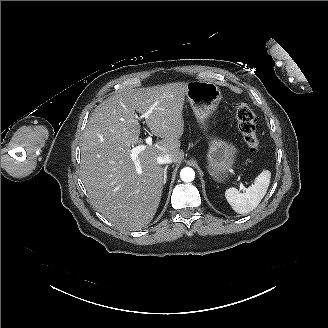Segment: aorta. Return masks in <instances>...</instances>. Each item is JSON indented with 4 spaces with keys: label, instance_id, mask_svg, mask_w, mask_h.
<instances>
[{
    "label": "aorta",
    "instance_id": "aorta-1",
    "mask_svg": "<svg viewBox=\"0 0 328 328\" xmlns=\"http://www.w3.org/2000/svg\"><path fill=\"white\" fill-rule=\"evenodd\" d=\"M180 178L184 182H191L195 178V172L190 167H185L180 171Z\"/></svg>",
    "mask_w": 328,
    "mask_h": 328
}]
</instances>
